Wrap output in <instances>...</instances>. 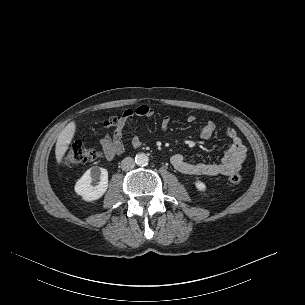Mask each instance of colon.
<instances>
[{
  "mask_svg": "<svg viewBox=\"0 0 305 305\" xmlns=\"http://www.w3.org/2000/svg\"><path fill=\"white\" fill-rule=\"evenodd\" d=\"M122 117L112 118L105 122L104 126L108 130H115L120 127ZM100 151L98 149L86 148L81 143H71L65 151L62 162L66 166H77L81 164L90 163L100 158ZM242 181L240 174H232L228 177V182L231 185H238Z\"/></svg>",
  "mask_w": 305,
  "mask_h": 305,
  "instance_id": "1",
  "label": "colon"
}]
</instances>
